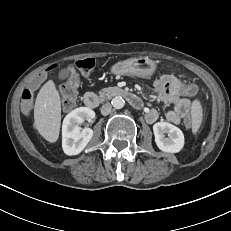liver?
<instances>
[{
	"label": "liver",
	"instance_id": "6515ba94",
	"mask_svg": "<svg viewBox=\"0 0 231 231\" xmlns=\"http://www.w3.org/2000/svg\"><path fill=\"white\" fill-rule=\"evenodd\" d=\"M35 126L40 135L50 143L59 138L61 125V99L52 80L40 89L34 106Z\"/></svg>",
	"mask_w": 231,
	"mask_h": 231
}]
</instances>
